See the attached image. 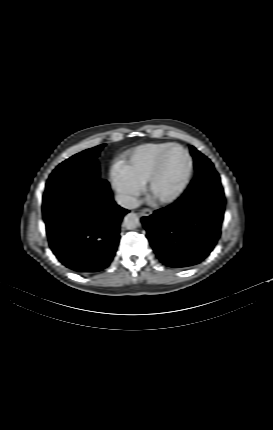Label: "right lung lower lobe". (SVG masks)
<instances>
[{
    "mask_svg": "<svg viewBox=\"0 0 273 430\" xmlns=\"http://www.w3.org/2000/svg\"><path fill=\"white\" fill-rule=\"evenodd\" d=\"M49 245L67 268L88 274L109 266L129 211L118 206L106 180L43 202Z\"/></svg>",
    "mask_w": 273,
    "mask_h": 430,
    "instance_id": "1",
    "label": "right lung lower lobe"
}]
</instances>
